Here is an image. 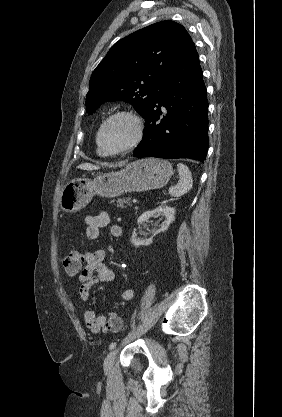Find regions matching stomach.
Here are the masks:
<instances>
[{
    "label": "stomach",
    "instance_id": "0dacf381",
    "mask_svg": "<svg viewBox=\"0 0 282 417\" xmlns=\"http://www.w3.org/2000/svg\"><path fill=\"white\" fill-rule=\"evenodd\" d=\"M173 168L171 162L162 158H141L127 164L117 172L97 174L92 180L73 178L64 186L60 196V206L66 213L81 211L94 194L99 196H120L131 190H151L167 184Z\"/></svg>",
    "mask_w": 282,
    "mask_h": 417
}]
</instances>
